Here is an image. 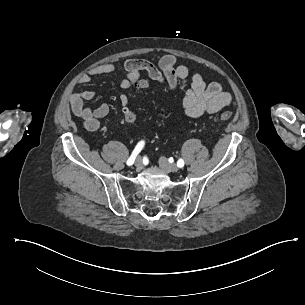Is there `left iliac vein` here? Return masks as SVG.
<instances>
[{
	"mask_svg": "<svg viewBox=\"0 0 305 305\" xmlns=\"http://www.w3.org/2000/svg\"><path fill=\"white\" fill-rule=\"evenodd\" d=\"M159 166L166 173L177 172L179 170L177 165L168 163L165 157H160Z\"/></svg>",
	"mask_w": 305,
	"mask_h": 305,
	"instance_id": "left-iliac-vein-1",
	"label": "left iliac vein"
}]
</instances>
